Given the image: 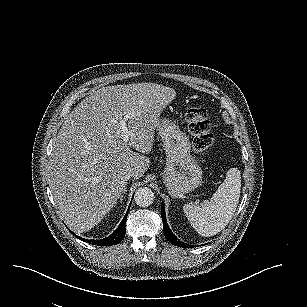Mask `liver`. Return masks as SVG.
I'll use <instances>...</instances> for the list:
<instances>
[{
  "instance_id": "obj_1",
  "label": "liver",
  "mask_w": 307,
  "mask_h": 307,
  "mask_svg": "<svg viewBox=\"0 0 307 307\" xmlns=\"http://www.w3.org/2000/svg\"><path fill=\"white\" fill-rule=\"evenodd\" d=\"M175 97L173 88L155 83L106 86L69 113L49 160V186L73 232H87L102 221L126 189L127 173L139 179L148 170L150 159L142 154L151 152L161 112ZM125 115L128 141L119 125Z\"/></svg>"
}]
</instances>
